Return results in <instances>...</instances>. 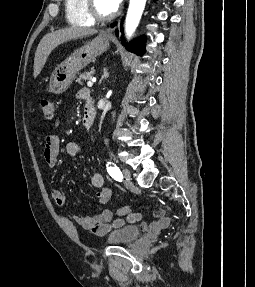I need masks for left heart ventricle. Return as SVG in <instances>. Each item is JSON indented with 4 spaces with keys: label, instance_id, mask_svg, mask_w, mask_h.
I'll use <instances>...</instances> for the list:
<instances>
[{
    "label": "left heart ventricle",
    "instance_id": "obj_1",
    "mask_svg": "<svg viewBox=\"0 0 255 287\" xmlns=\"http://www.w3.org/2000/svg\"><path fill=\"white\" fill-rule=\"evenodd\" d=\"M101 33H107V32H101ZM113 33H119V32H113ZM114 39H125V38H114ZM113 48H130V47H113Z\"/></svg>",
    "mask_w": 255,
    "mask_h": 287
}]
</instances>
